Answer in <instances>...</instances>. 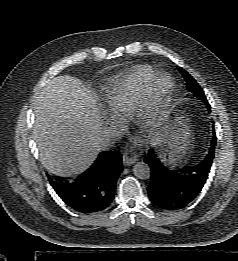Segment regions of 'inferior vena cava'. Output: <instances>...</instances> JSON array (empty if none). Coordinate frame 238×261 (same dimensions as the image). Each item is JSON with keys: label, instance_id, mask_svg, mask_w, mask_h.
I'll return each mask as SVG.
<instances>
[{"label": "inferior vena cava", "instance_id": "1", "mask_svg": "<svg viewBox=\"0 0 238 261\" xmlns=\"http://www.w3.org/2000/svg\"><path fill=\"white\" fill-rule=\"evenodd\" d=\"M120 137H121V133L114 126L106 127L104 131V139H103L102 147L104 149H107L112 140L118 139Z\"/></svg>", "mask_w": 238, "mask_h": 261}]
</instances>
